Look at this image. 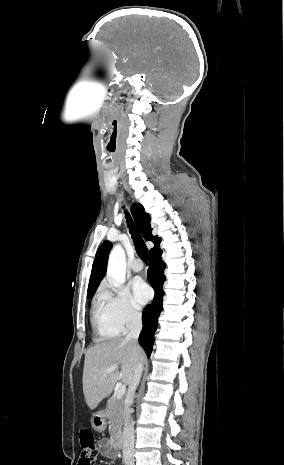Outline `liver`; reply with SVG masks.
Returning <instances> with one entry per match:
<instances>
[{
	"mask_svg": "<svg viewBox=\"0 0 284 465\" xmlns=\"http://www.w3.org/2000/svg\"><path fill=\"white\" fill-rule=\"evenodd\" d=\"M144 359L145 353L136 341L109 339L90 347L85 353L83 369V393L89 409H96L109 397L119 379L130 385L135 369ZM108 367H120L121 371L116 369L108 377H103Z\"/></svg>",
	"mask_w": 284,
	"mask_h": 465,
	"instance_id": "liver-1",
	"label": "liver"
}]
</instances>
